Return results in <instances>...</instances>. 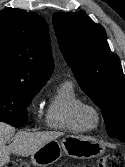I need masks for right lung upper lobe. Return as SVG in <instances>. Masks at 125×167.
<instances>
[{
    "label": "right lung upper lobe",
    "instance_id": "right-lung-upper-lobe-1",
    "mask_svg": "<svg viewBox=\"0 0 125 167\" xmlns=\"http://www.w3.org/2000/svg\"><path fill=\"white\" fill-rule=\"evenodd\" d=\"M48 31L37 13L0 11V87L35 91L45 85L53 71Z\"/></svg>",
    "mask_w": 125,
    "mask_h": 167
}]
</instances>
